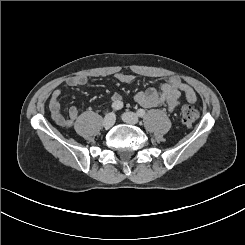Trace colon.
<instances>
[{
	"instance_id": "obj_1",
	"label": "colon",
	"mask_w": 245,
	"mask_h": 245,
	"mask_svg": "<svg viewBox=\"0 0 245 245\" xmlns=\"http://www.w3.org/2000/svg\"><path fill=\"white\" fill-rule=\"evenodd\" d=\"M182 122L187 126H192L198 119V112L189 104H184L181 111Z\"/></svg>"
}]
</instances>
